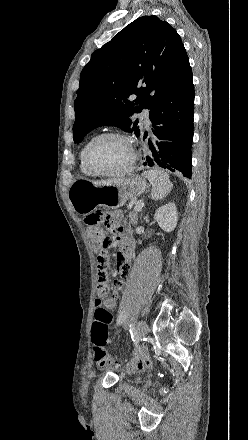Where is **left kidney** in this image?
Wrapping results in <instances>:
<instances>
[{
	"label": "left kidney",
	"instance_id": "left-kidney-1",
	"mask_svg": "<svg viewBox=\"0 0 248 440\" xmlns=\"http://www.w3.org/2000/svg\"><path fill=\"white\" fill-rule=\"evenodd\" d=\"M154 219L164 231H173L178 221V213L175 203H168L158 208L155 212Z\"/></svg>",
	"mask_w": 248,
	"mask_h": 440
}]
</instances>
